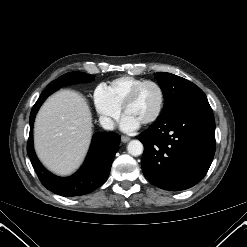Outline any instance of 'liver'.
I'll use <instances>...</instances> for the list:
<instances>
[{
	"label": "liver",
	"mask_w": 247,
	"mask_h": 247,
	"mask_svg": "<svg viewBox=\"0 0 247 247\" xmlns=\"http://www.w3.org/2000/svg\"><path fill=\"white\" fill-rule=\"evenodd\" d=\"M92 135V115L86 99L61 90L47 99L37 114L35 150L43 164L59 175L72 173L82 162Z\"/></svg>",
	"instance_id": "obj_1"
}]
</instances>
